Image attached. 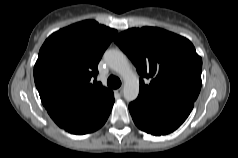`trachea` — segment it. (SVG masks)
<instances>
[{
	"label": "trachea",
	"instance_id": "trachea-1",
	"mask_svg": "<svg viewBox=\"0 0 238 158\" xmlns=\"http://www.w3.org/2000/svg\"><path fill=\"white\" fill-rule=\"evenodd\" d=\"M107 84L109 87L117 89L121 86V81L118 77L111 75V76H109V78L107 80Z\"/></svg>",
	"mask_w": 238,
	"mask_h": 158
}]
</instances>
